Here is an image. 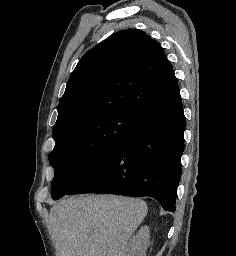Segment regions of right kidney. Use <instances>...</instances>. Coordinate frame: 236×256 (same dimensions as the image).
Here are the masks:
<instances>
[{
	"label": "right kidney",
	"instance_id": "right-kidney-1",
	"mask_svg": "<svg viewBox=\"0 0 236 256\" xmlns=\"http://www.w3.org/2000/svg\"><path fill=\"white\" fill-rule=\"evenodd\" d=\"M149 246V228L142 226L134 236L132 242L128 244V256H146Z\"/></svg>",
	"mask_w": 236,
	"mask_h": 256
}]
</instances>
